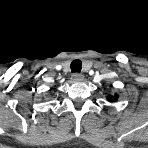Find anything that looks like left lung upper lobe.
Wrapping results in <instances>:
<instances>
[{
  "instance_id": "1",
  "label": "left lung upper lobe",
  "mask_w": 148,
  "mask_h": 148,
  "mask_svg": "<svg viewBox=\"0 0 148 148\" xmlns=\"http://www.w3.org/2000/svg\"><path fill=\"white\" fill-rule=\"evenodd\" d=\"M107 99L110 102L117 101L118 95L117 94H115L114 96L113 95H110V96L107 97Z\"/></svg>"
}]
</instances>
